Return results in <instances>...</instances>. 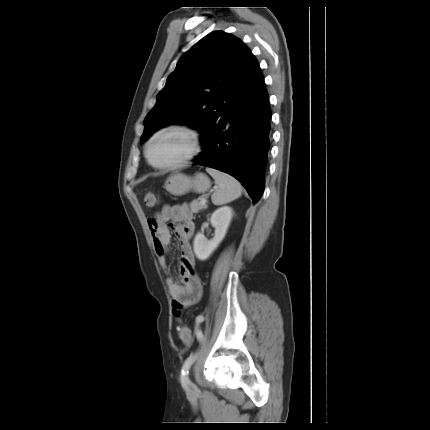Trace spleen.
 Instances as JSON below:
<instances>
[{
    "label": "spleen",
    "instance_id": "spleen-1",
    "mask_svg": "<svg viewBox=\"0 0 430 430\" xmlns=\"http://www.w3.org/2000/svg\"><path fill=\"white\" fill-rule=\"evenodd\" d=\"M206 171L216 184V190L211 196L213 204L224 205L241 196L242 186L233 176L211 167H207Z\"/></svg>",
    "mask_w": 430,
    "mask_h": 430
}]
</instances>
